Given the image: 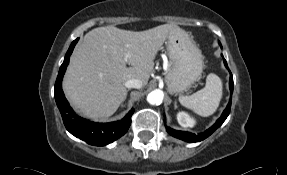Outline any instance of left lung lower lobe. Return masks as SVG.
I'll list each match as a JSON object with an SVG mask.
<instances>
[{
  "label": "left lung lower lobe",
  "mask_w": 287,
  "mask_h": 175,
  "mask_svg": "<svg viewBox=\"0 0 287 175\" xmlns=\"http://www.w3.org/2000/svg\"><path fill=\"white\" fill-rule=\"evenodd\" d=\"M224 64L226 66V68L229 70L228 65L226 60L224 59ZM233 76L230 73V81H229V87H230V91L231 94L233 93ZM230 108H231V99L226 107V109L224 110L223 114L221 115V117L216 121V123L210 127L209 129H207L205 132L200 133L198 135L193 134V133H189V132H184V131H177L171 128H167V132L176 137L179 138L181 140L187 141V142H199L201 140L206 139L208 136H210L218 127H220L223 122L226 120V118L229 115L230 112Z\"/></svg>",
  "instance_id": "left-lung-lower-lobe-1"
}]
</instances>
